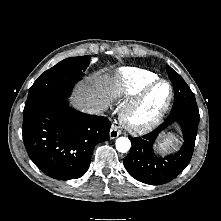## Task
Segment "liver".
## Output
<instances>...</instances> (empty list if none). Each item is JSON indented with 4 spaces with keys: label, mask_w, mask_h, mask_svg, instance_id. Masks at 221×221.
I'll list each match as a JSON object with an SVG mask.
<instances>
[{
    "label": "liver",
    "mask_w": 221,
    "mask_h": 221,
    "mask_svg": "<svg viewBox=\"0 0 221 221\" xmlns=\"http://www.w3.org/2000/svg\"><path fill=\"white\" fill-rule=\"evenodd\" d=\"M109 89L108 76L95 73L88 78L87 84L78 86L75 94V103L84 111L95 106H102L105 110Z\"/></svg>",
    "instance_id": "liver-1"
}]
</instances>
